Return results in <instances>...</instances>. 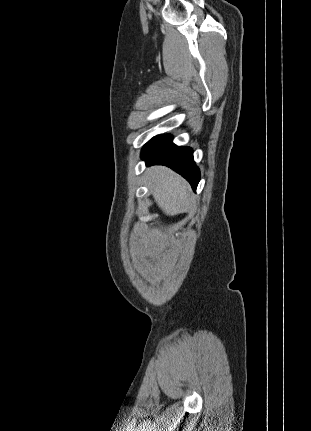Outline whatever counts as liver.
Masks as SVG:
<instances>
[{"mask_svg": "<svg viewBox=\"0 0 311 431\" xmlns=\"http://www.w3.org/2000/svg\"><path fill=\"white\" fill-rule=\"evenodd\" d=\"M148 170L149 186L159 208L168 216L181 214L187 204L189 184L169 168L154 166Z\"/></svg>", "mask_w": 311, "mask_h": 431, "instance_id": "obj_1", "label": "liver"}]
</instances>
